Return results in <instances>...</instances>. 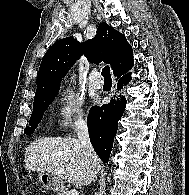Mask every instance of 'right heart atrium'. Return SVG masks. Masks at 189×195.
<instances>
[{"mask_svg": "<svg viewBox=\"0 0 189 195\" xmlns=\"http://www.w3.org/2000/svg\"><path fill=\"white\" fill-rule=\"evenodd\" d=\"M58 127L61 131L72 130L86 123L84 102L71 89H62L56 98Z\"/></svg>", "mask_w": 189, "mask_h": 195, "instance_id": "d8ad5b80", "label": "right heart atrium"}]
</instances>
